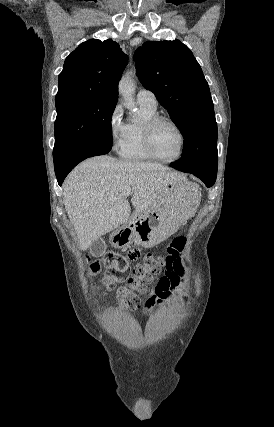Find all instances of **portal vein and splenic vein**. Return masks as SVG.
<instances>
[{
    "instance_id": "18ae733b",
    "label": "portal vein and splenic vein",
    "mask_w": 274,
    "mask_h": 427,
    "mask_svg": "<svg viewBox=\"0 0 274 427\" xmlns=\"http://www.w3.org/2000/svg\"><path fill=\"white\" fill-rule=\"evenodd\" d=\"M122 196H127L128 198V196H130V190H124Z\"/></svg>"
}]
</instances>
